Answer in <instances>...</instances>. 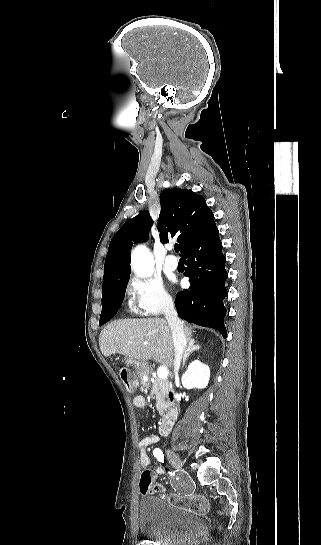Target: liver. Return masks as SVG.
<instances>
[{"mask_svg": "<svg viewBox=\"0 0 321 545\" xmlns=\"http://www.w3.org/2000/svg\"><path fill=\"white\" fill-rule=\"evenodd\" d=\"M183 327L186 341H190L192 331L187 325ZM99 347L103 357L119 353L138 361L154 359L167 367H172L174 363L173 339L170 327L164 319L112 321L102 329L99 335Z\"/></svg>", "mask_w": 321, "mask_h": 545, "instance_id": "1", "label": "liver"}]
</instances>
